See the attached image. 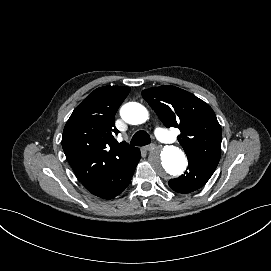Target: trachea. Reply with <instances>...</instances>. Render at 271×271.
<instances>
[{
    "label": "trachea",
    "mask_w": 271,
    "mask_h": 271,
    "mask_svg": "<svg viewBox=\"0 0 271 271\" xmlns=\"http://www.w3.org/2000/svg\"><path fill=\"white\" fill-rule=\"evenodd\" d=\"M151 142L149 134L144 130L137 131L131 140V145L133 146H145Z\"/></svg>",
    "instance_id": "trachea-1"
}]
</instances>
